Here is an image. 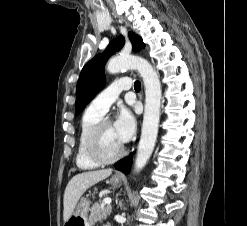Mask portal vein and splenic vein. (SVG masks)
<instances>
[{
    "label": "portal vein and splenic vein",
    "instance_id": "1",
    "mask_svg": "<svg viewBox=\"0 0 247 226\" xmlns=\"http://www.w3.org/2000/svg\"><path fill=\"white\" fill-rule=\"evenodd\" d=\"M104 203H105V204H110V203H111V198H108V197L105 198V199H104Z\"/></svg>",
    "mask_w": 247,
    "mask_h": 226
}]
</instances>
